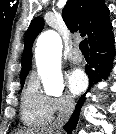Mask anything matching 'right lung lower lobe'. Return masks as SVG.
Instances as JSON below:
<instances>
[{"mask_svg":"<svg viewBox=\"0 0 116 134\" xmlns=\"http://www.w3.org/2000/svg\"><path fill=\"white\" fill-rule=\"evenodd\" d=\"M90 49L91 67H95L96 70H91V67L86 69L89 78L88 89H90L93 84L99 82L102 78H107L110 73L112 61L115 57L114 36L112 31L110 30L101 38L92 42L90 44ZM85 94L78 100L72 118L64 126V129L68 134H71L72 130L75 129L77 125L80 110L85 101Z\"/></svg>","mask_w":116,"mask_h":134,"instance_id":"obj_1","label":"right lung lower lobe"}]
</instances>
